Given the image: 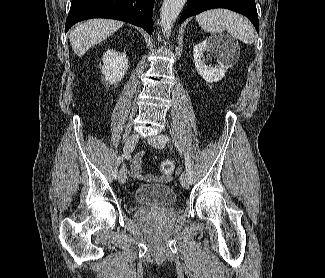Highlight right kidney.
<instances>
[{"mask_svg":"<svg viewBox=\"0 0 325 278\" xmlns=\"http://www.w3.org/2000/svg\"><path fill=\"white\" fill-rule=\"evenodd\" d=\"M103 64L102 74L109 84L121 81L129 67L126 54H121L113 49L104 54Z\"/></svg>","mask_w":325,"mask_h":278,"instance_id":"ca27d5eb","label":"right kidney"}]
</instances>
